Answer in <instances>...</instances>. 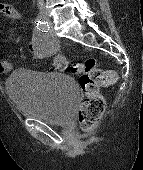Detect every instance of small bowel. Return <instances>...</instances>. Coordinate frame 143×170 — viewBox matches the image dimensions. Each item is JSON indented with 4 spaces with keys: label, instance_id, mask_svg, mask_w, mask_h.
I'll list each match as a JSON object with an SVG mask.
<instances>
[{
    "label": "small bowel",
    "instance_id": "1",
    "mask_svg": "<svg viewBox=\"0 0 143 170\" xmlns=\"http://www.w3.org/2000/svg\"><path fill=\"white\" fill-rule=\"evenodd\" d=\"M0 16L6 17L9 20L13 21H22L24 19V15L18 9L5 5L0 4ZM29 50L35 54L39 58L47 57V51L39 49V47L35 43H30L28 46ZM64 61L65 59L61 57ZM53 66L58 69L57 58L53 62ZM11 63L7 60L0 59V73H5L11 70Z\"/></svg>",
    "mask_w": 143,
    "mask_h": 170
}]
</instances>
